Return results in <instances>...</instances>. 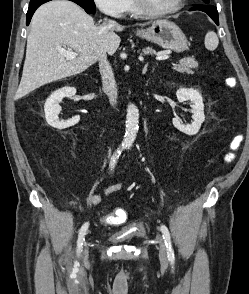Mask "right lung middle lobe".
<instances>
[{"mask_svg": "<svg viewBox=\"0 0 249 294\" xmlns=\"http://www.w3.org/2000/svg\"><path fill=\"white\" fill-rule=\"evenodd\" d=\"M43 0H31L30 4H35L38 2H41ZM75 1L76 3H78L82 8L87 9L88 11H90L92 14L95 13L96 11V7H95V3L93 0H72Z\"/></svg>", "mask_w": 249, "mask_h": 294, "instance_id": "1", "label": "right lung middle lobe"}]
</instances>
